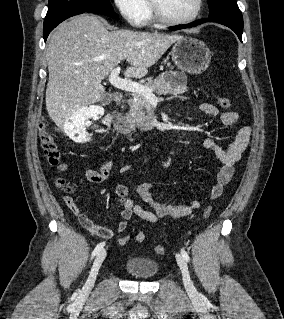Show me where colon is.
Listing matches in <instances>:
<instances>
[{
	"label": "colon",
	"mask_w": 284,
	"mask_h": 319,
	"mask_svg": "<svg viewBox=\"0 0 284 319\" xmlns=\"http://www.w3.org/2000/svg\"><path fill=\"white\" fill-rule=\"evenodd\" d=\"M218 104L220 107L224 109H228L231 107V101L226 97H219ZM40 143L43 150V154L48 161V163L52 166L58 164L60 160V153L55 143V140L51 133L47 131L44 125L41 126L39 133ZM58 184L62 187H66L64 180H58ZM212 213V207L207 206L203 211V217L208 218ZM145 240V234L143 232H139L136 235L137 242H143ZM129 237H122L118 240L119 245L124 246L128 243ZM155 252L157 254H163L165 252V248L162 245H157L155 247Z\"/></svg>",
	"instance_id": "colon-1"
}]
</instances>
